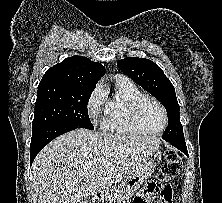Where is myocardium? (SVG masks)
Returning <instances> with one entry per match:
<instances>
[{"instance_id": "f54148a6", "label": "myocardium", "mask_w": 222, "mask_h": 203, "mask_svg": "<svg viewBox=\"0 0 222 203\" xmlns=\"http://www.w3.org/2000/svg\"><path fill=\"white\" fill-rule=\"evenodd\" d=\"M147 101L154 102L161 109V111L163 113L164 124H163L162 128L158 131L149 130L148 128L145 127V125L143 124V122L141 120L140 111H141V108L144 105V103ZM131 114H132V118H133V121L136 124V126L140 130H142L144 133H147L150 135H159L168 126V113H167L166 108L158 99H156L155 97H152V96L143 95L140 98H138L132 105Z\"/></svg>"}]
</instances>
